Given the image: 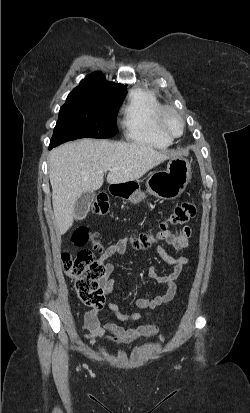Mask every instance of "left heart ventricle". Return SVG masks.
<instances>
[{
    "instance_id": "1",
    "label": "left heart ventricle",
    "mask_w": 250,
    "mask_h": 413,
    "mask_svg": "<svg viewBox=\"0 0 250 413\" xmlns=\"http://www.w3.org/2000/svg\"><path fill=\"white\" fill-rule=\"evenodd\" d=\"M165 125L167 129L174 133L178 134L180 132L181 126L179 120L173 115H167L165 118Z\"/></svg>"
}]
</instances>
